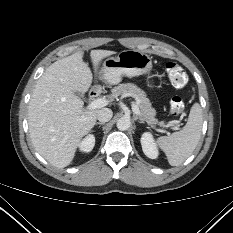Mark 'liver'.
Segmentation results:
<instances>
[{"mask_svg":"<svg viewBox=\"0 0 233 233\" xmlns=\"http://www.w3.org/2000/svg\"><path fill=\"white\" fill-rule=\"evenodd\" d=\"M116 54L109 50H91L95 75L105 57ZM93 76L76 52L51 64L38 79L28 106V124L36 151L58 168L68 166L77 147L96 124L98 109L88 110L75 92L85 93Z\"/></svg>","mask_w":233,"mask_h":233,"instance_id":"obj_1","label":"liver"}]
</instances>
